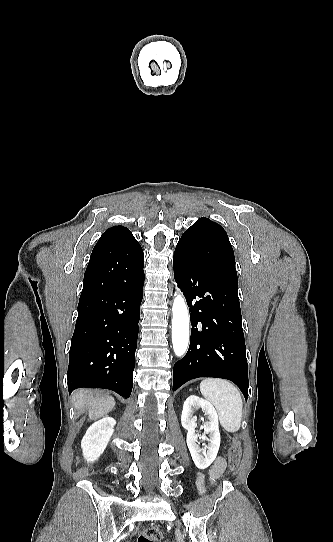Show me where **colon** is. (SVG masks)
<instances>
[{"label":"colon","mask_w":333,"mask_h":542,"mask_svg":"<svg viewBox=\"0 0 333 542\" xmlns=\"http://www.w3.org/2000/svg\"><path fill=\"white\" fill-rule=\"evenodd\" d=\"M242 454L241 441L238 438L232 440L227 447V463L230 469H235L240 462ZM163 538L159 528L151 526L146 528L137 538V542H161Z\"/></svg>","instance_id":"colon-1"}]
</instances>
